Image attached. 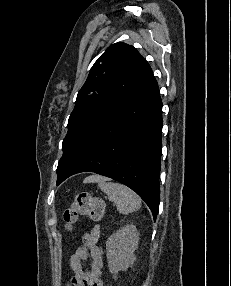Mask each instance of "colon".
<instances>
[{
    "label": "colon",
    "mask_w": 231,
    "mask_h": 286,
    "mask_svg": "<svg viewBox=\"0 0 231 286\" xmlns=\"http://www.w3.org/2000/svg\"><path fill=\"white\" fill-rule=\"evenodd\" d=\"M104 215V202L88 192H81L77 194L72 204L64 210L63 220L66 228L71 229L80 217L101 220Z\"/></svg>",
    "instance_id": "colon-1"
}]
</instances>
